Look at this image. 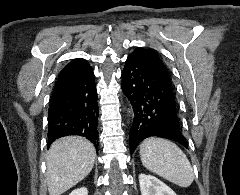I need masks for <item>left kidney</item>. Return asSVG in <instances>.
I'll use <instances>...</instances> for the list:
<instances>
[{
	"label": "left kidney",
	"instance_id": "left-kidney-1",
	"mask_svg": "<svg viewBox=\"0 0 240 195\" xmlns=\"http://www.w3.org/2000/svg\"><path fill=\"white\" fill-rule=\"evenodd\" d=\"M139 183L141 195H177L169 185H166L154 175L139 173Z\"/></svg>",
	"mask_w": 240,
	"mask_h": 195
}]
</instances>
